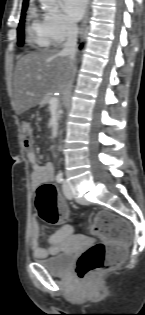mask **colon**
Wrapping results in <instances>:
<instances>
[{
  "label": "colon",
  "mask_w": 145,
  "mask_h": 315,
  "mask_svg": "<svg viewBox=\"0 0 145 315\" xmlns=\"http://www.w3.org/2000/svg\"><path fill=\"white\" fill-rule=\"evenodd\" d=\"M21 130L24 146L30 147L33 141L32 125L23 121ZM36 206L40 217L48 224H57L67 217V207L51 183L38 187ZM90 230L102 242L91 246L78 258L75 271L80 279H90L117 266L132 236L129 224L110 211L97 213Z\"/></svg>",
  "instance_id": "5ec220e1"
}]
</instances>
